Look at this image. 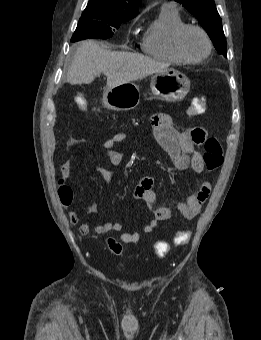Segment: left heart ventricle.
<instances>
[{
	"instance_id": "1",
	"label": "left heart ventricle",
	"mask_w": 261,
	"mask_h": 340,
	"mask_svg": "<svg viewBox=\"0 0 261 340\" xmlns=\"http://www.w3.org/2000/svg\"><path fill=\"white\" fill-rule=\"evenodd\" d=\"M182 49L192 59H200L207 52V42L197 30H188L182 39Z\"/></svg>"
}]
</instances>
